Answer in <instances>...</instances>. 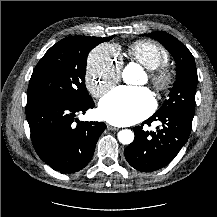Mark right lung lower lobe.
<instances>
[{"label":"right lung lower lobe","instance_id":"1","mask_svg":"<svg viewBox=\"0 0 217 217\" xmlns=\"http://www.w3.org/2000/svg\"><path fill=\"white\" fill-rule=\"evenodd\" d=\"M93 100L82 104L62 101L27 103L26 117L31 140L39 157L61 173H74L91 160L104 123L79 122L76 115L94 108Z\"/></svg>","mask_w":217,"mask_h":217}]
</instances>
